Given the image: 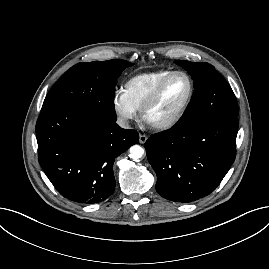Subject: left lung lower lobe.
Here are the masks:
<instances>
[{"mask_svg": "<svg viewBox=\"0 0 269 269\" xmlns=\"http://www.w3.org/2000/svg\"><path fill=\"white\" fill-rule=\"evenodd\" d=\"M237 132V115L216 114L152 135L145 148L158 194L188 203L213 192L234 162Z\"/></svg>", "mask_w": 269, "mask_h": 269, "instance_id": "1", "label": "left lung lower lobe"}]
</instances>
